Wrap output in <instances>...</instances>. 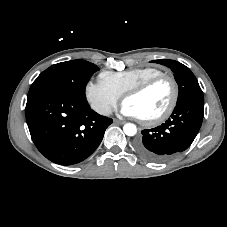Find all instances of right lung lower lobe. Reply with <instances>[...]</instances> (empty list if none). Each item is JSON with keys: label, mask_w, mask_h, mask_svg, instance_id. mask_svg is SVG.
Wrapping results in <instances>:
<instances>
[{"label": "right lung lower lobe", "mask_w": 227, "mask_h": 227, "mask_svg": "<svg viewBox=\"0 0 227 227\" xmlns=\"http://www.w3.org/2000/svg\"><path fill=\"white\" fill-rule=\"evenodd\" d=\"M26 121L38 150L50 161L72 165L89 157L112 119L93 111L83 98L47 92L27 98Z\"/></svg>", "instance_id": "obj_1"}]
</instances>
